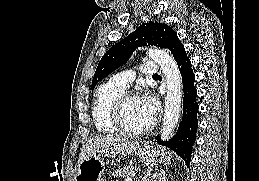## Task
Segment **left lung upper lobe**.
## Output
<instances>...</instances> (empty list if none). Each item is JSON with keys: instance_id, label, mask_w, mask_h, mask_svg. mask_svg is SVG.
<instances>
[{"instance_id": "5c2ea615", "label": "left lung upper lobe", "mask_w": 259, "mask_h": 181, "mask_svg": "<svg viewBox=\"0 0 259 181\" xmlns=\"http://www.w3.org/2000/svg\"><path fill=\"white\" fill-rule=\"evenodd\" d=\"M178 41L180 40L177 34L167 24L158 22L142 24L105 53L94 74L92 90L101 79L127 62L136 48L155 45L171 50Z\"/></svg>"}]
</instances>
